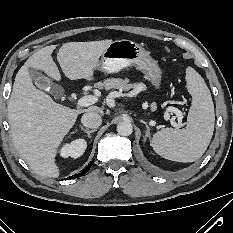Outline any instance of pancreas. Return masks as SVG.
Here are the masks:
<instances>
[{"label":"pancreas","mask_w":233,"mask_h":233,"mask_svg":"<svg viewBox=\"0 0 233 233\" xmlns=\"http://www.w3.org/2000/svg\"><path fill=\"white\" fill-rule=\"evenodd\" d=\"M102 85L106 90L117 89L120 92L123 90L128 91L132 88L134 90H137L138 88L143 86L139 83L130 84L128 79H121V78L106 79Z\"/></svg>","instance_id":"cf45deb5"}]
</instances>
